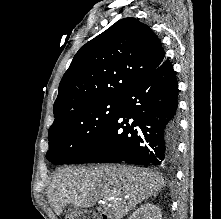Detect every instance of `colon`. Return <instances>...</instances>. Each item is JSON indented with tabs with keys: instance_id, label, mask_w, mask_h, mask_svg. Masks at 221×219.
I'll return each instance as SVG.
<instances>
[{
	"instance_id": "1",
	"label": "colon",
	"mask_w": 221,
	"mask_h": 219,
	"mask_svg": "<svg viewBox=\"0 0 221 219\" xmlns=\"http://www.w3.org/2000/svg\"><path fill=\"white\" fill-rule=\"evenodd\" d=\"M67 219H98V218L92 211L71 209L67 213Z\"/></svg>"
}]
</instances>
